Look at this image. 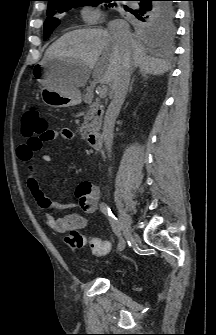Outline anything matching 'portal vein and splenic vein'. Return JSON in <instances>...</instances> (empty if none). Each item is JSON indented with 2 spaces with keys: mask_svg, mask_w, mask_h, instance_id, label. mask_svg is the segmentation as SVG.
<instances>
[{
  "mask_svg": "<svg viewBox=\"0 0 216 335\" xmlns=\"http://www.w3.org/2000/svg\"><path fill=\"white\" fill-rule=\"evenodd\" d=\"M108 92V87L106 85H103L102 88L99 90L98 94L100 98L106 97Z\"/></svg>",
  "mask_w": 216,
  "mask_h": 335,
  "instance_id": "18ae733b",
  "label": "portal vein and splenic vein"
}]
</instances>
